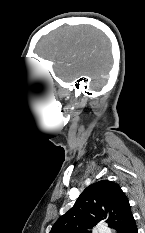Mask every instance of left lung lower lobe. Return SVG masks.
<instances>
[{
  "mask_svg": "<svg viewBox=\"0 0 145 233\" xmlns=\"http://www.w3.org/2000/svg\"><path fill=\"white\" fill-rule=\"evenodd\" d=\"M124 233H138L135 220H133V221L128 225V227L126 228V230L124 231Z\"/></svg>",
  "mask_w": 145,
  "mask_h": 233,
  "instance_id": "left-lung-lower-lobe-1",
  "label": "left lung lower lobe"
}]
</instances>
